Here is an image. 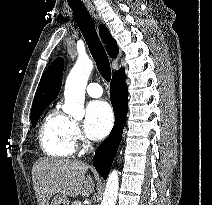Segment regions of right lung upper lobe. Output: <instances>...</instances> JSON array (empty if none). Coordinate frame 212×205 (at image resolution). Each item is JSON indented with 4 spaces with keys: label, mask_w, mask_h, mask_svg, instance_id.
<instances>
[{
    "label": "right lung upper lobe",
    "mask_w": 212,
    "mask_h": 205,
    "mask_svg": "<svg viewBox=\"0 0 212 205\" xmlns=\"http://www.w3.org/2000/svg\"><path fill=\"white\" fill-rule=\"evenodd\" d=\"M99 29L100 36L106 44L108 54L111 57H116L119 49L115 39L111 36L109 30L104 25L101 24ZM62 72L63 60L58 58L43 73L32 107L49 105L57 97L61 88Z\"/></svg>",
    "instance_id": "cb5924a9"
}]
</instances>
